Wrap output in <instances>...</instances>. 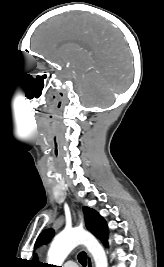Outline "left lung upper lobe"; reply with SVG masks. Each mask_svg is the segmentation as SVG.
Listing matches in <instances>:
<instances>
[{"instance_id": "1", "label": "left lung upper lobe", "mask_w": 164, "mask_h": 267, "mask_svg": "<svg viewBox=\"0 0 164 267\" xmlns=\"http://www.w3.org/2000/svg\"><path fill=\"white\" fill-rule=\"evenodd\" d=\"M85 224L87 229L92 232L98 239L103 241L108 236V229L106 221L102 216L99 215L94 209L89 207H83ZM54 235L53 229H47L43 231L36 241L35 247L47 243ZM40 266H47L44 264H40Z\"/></svg>"}]
</instances>
